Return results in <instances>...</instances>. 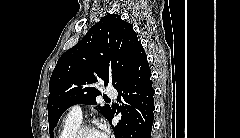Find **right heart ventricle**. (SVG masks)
Instances as JSON below:
<instances>
[{
	"instance_id": "obj_1",
	"label": "right heart ventricle",
	"mask_w": 240,
	"mask_h": 138,
	"mask_svg": "<svg viewBox=\"0 0 240 138\" xmlns=\"http://www.w3.org/2000/svg\"><path fill=\"white\" fill-rule=\"evenodd\" d=\"M81 120L75 119L73 117H67L58 133V138H69L73 131L80 125Z\"/></svg>"
}]
</instances>
